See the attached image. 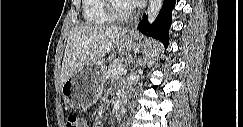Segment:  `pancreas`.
Masks as SVG:
<instances>
[{
    "label": "pancreas",
    "instance_id": "1",
    "mask_svg": "<svg viewBox=\"0 0 243 127\" xmlns=\"http://www.w3.org/2000/svg\"><path fill=\"white\" fill-rule=\"evenodd\" d=\"M119 67H122V62L120 60L112 61L106 68V79L115 78L116 76H112V73Z\"/></svg>",
    "mask_w": 243,
    "mask_h": 127
}]
</instances>
